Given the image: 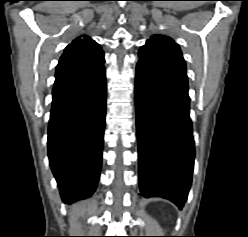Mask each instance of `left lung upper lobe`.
I'll return each mask as SVG.
<instances>
[{"mask_svg":"<svg viewBox=\"0 0 248 237\" xmlns=\"http://www.w3.org/2000/svg\"><path fill=\"white\" fill-rule=\"evenodd\" d=\"M139 57L166 75L187 81L186 64L180 47L171 38L162 35L152 36L140 48Z\"/></svg>","mask_w":248,"mask_h":237,"instance_id":"1","label":"left lung upper lobe"}]
</instances>
